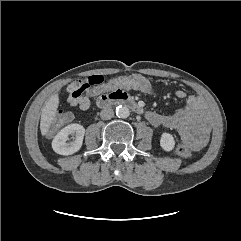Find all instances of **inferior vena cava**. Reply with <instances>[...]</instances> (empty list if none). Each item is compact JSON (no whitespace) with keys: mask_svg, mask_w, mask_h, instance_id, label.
Here are the masks:
<instances>
[{"mask_svg":"<svg viewBox=\"0 0 241 241\" xmlns=\"http://www.w3.org/2000/svg\"><path fill=\"white\" fill-rule=\"evenodd\" d=\"M114 116V111L111 107H107L104 108L101 112H100V117L103 120H108L111 119Z\"/></svg>","mask_w":241,"mask_h":241,"instance_id":"inferior-vena-cava-1","label":"inferior vena cava"}]
</instances>
